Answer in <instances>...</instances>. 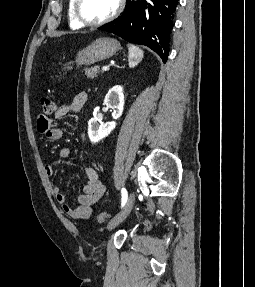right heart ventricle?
Here are the masks:
<instances>
[{
  "label": "right heart ventricle",
  "instance_id": "obj_1",
  "mask_svg": "<svg viewBox=\"0 0 255 287\" xmlns=\"http://www.w3.org/2000/svg\"><path fill=\"white\" fill-rule=\"evenodd\" d=\"M88 48H105V47H88Z\"/></svg>",
  "mask_w": 255,
  "mask_h": 287
}]
</instances>
